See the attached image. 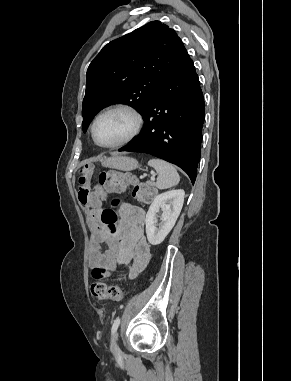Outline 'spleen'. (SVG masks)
<instances>
[{"label":"spleen","mask_w":291,"mask_h":381,"mask_svg":"<svg viewBox=\"0 0 291 381\" xmlns=\"http://www.w3.org/2000/svg\"><path fill=\"white\" fill-rule=\"evenodd\" d=\"M148 165L153 167L157 174L156 186L158 189H168L177 185L180 176L173 165L161 159H150Z\"/></svg>","instance_id":"spleen-1"}]
</instances>
